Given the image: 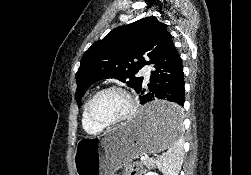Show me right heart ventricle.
<instances>
[{"mask_svg":"<svg viewBox=\"0 0 251 175\" xmlns=\"http://www.w3.org/2000/svg\"><path fill=\"white\" fill-rule=\"evenodd\" d=\"M91 96L87 99L84 104L83 112H82V127L84 131L90 135H99L103 132L104 128L93 124L87 116V104Z\"/></svg>","mask_w":251,"mask_h":175,"instance_id":"obj_1","label":"right heart ventricle"}]
</instances>
